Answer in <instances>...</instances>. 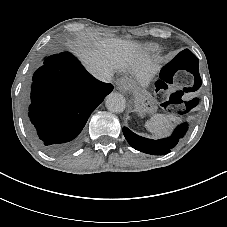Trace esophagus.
Listing matches in <instances>:
<instances>
[{
  "mask_svg": "<svg viewBox=\"0 0 227 227\" xmlns=\"http://www.w3.org/2000/svg\"><path fill=\"white\" fill-rule=\"evenodd\" d=\"M116 85H117V89H118L119 91L123 92V91L125 90V87H124V85H123L121 79H118V80L116 81Z\"/></svg>",
  "mask_w": 227,
  "mask_h": 227,
  "instance_id": "1",
  "label": "esophagus"
}]
</instances>
